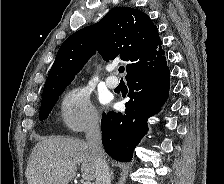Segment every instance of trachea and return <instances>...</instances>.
Instances as JSON below:
<instances>
[{
    "label": "trachea",
    "mask_w": 224,
    "mask_h": 184,
    "mask_svg": "<svg viewBox=\"0 0 224 184\" xmlns=\"http://www.w3.org/2000/svg\"><path fill=\"white\" fill-rule=\"evenodd\" d=\"M124 70H125L124 66H120V67H119V73H123Z\"/></svg>",
    "instance_id": "1"
}]
</instances>
